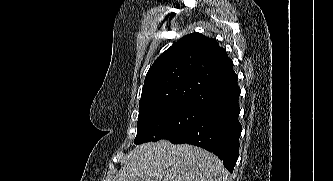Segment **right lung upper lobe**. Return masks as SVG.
Here are the masks:
<instances>
[{
  "mask_svg": "<svg viewBox=\"0 0 333 181\" xmlns=\"http://www.w3.org/2000/svg\"><path fill=\"white\" fill-rule=\"evenodd\" d=\"M233 62L216 40L199 33L182 37L162 53L145 77L139 111L167 104L207 108L238 94Z\"/></svg>",
  "mask_w": 333,
  "mask_h": 181,
  "instance_id": "obj_1",
  "label": "right lung upper lobe"
}]
</instances>
